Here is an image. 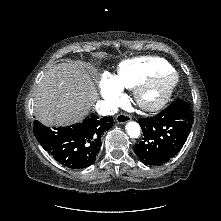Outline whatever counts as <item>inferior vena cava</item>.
I'll return each instance as SVG.
<instances>
[{"label": "inferior vena cava", "mask_w": 221, "mask_h": 221, "mask_svg": "<svg viewBox=\"0 0 221 221\" xmlns=\"http://www.w3.org/2000/svg\"><path fill=\"white\" fill-rule=\"evenodd\" d=\"M96 111L102 116L114 115L117 112V108L107 101H98L96 103Z\"/></svg>", "instance_id": "602c4592"}]
</instances>
